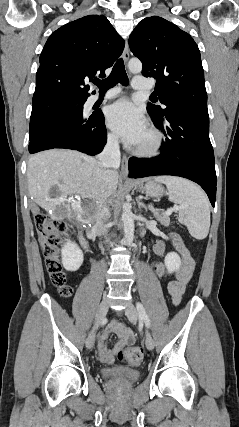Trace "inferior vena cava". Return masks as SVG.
Listing matches in <instances>:
<instances>
[{
  "mask_svg": "<svg viewBox=\"0 0 239 427\" xmlns=\"http://www.w3.org/2000/svg\"><path fill=\"white\" fill-rule=\"evenodd\" d=\"M98 160L103 168L107 171L110 168H118L120 165V150L117 136L111 135L107 139V143L103 151L99 154ZM110 217V212L104 204L99 212L96 220L95 231L99 235H104L107 232V221Z\"/></svg>",
  "mask_w": 239,
  "mask_h": 427,
  "instance_id": "602c4592",
  "label": "inferior vena cava"
}]
</instances>
